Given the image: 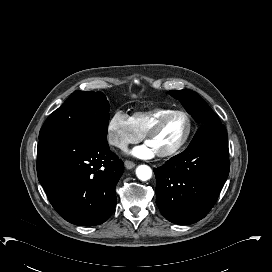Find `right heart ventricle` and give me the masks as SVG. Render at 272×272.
<instances>
[{"instance_id":"1","label":"right heart ventricle","mask_w":272,"mask_h":272,"mask_svg":"<svg viewBox=\"0 0 272 272\" xmlns=\"http://www.w3.org/2000/svg\"><path fill=\"white\" fill-rule=\"evenodd\" d=\"M171 111L170 109H157L152 112L136 113L132 120L140 130L146 131L160 116Z\"/></svg>"}]
</instances>
